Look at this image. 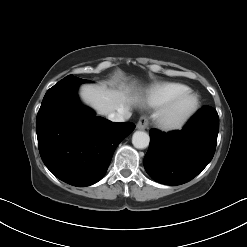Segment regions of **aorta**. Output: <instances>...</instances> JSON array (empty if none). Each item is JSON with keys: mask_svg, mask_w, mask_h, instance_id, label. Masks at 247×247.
Listing matches in <instances>:
<instances>
[{"mask_svg": "<svg viewBox=\"0 0 247 247\" xmlns=\"http://www.w3.org/2000/svg\"><path fill=\"white\" fill-rule=\"evenodd\" d=\"M149 135L144 131H136L132 136V144L137 149H145L149 145Z\"/></svg>", "mask_w": 247, "mask_h": 247, "instance_id": "obj_1", "label": "aorta"}]
</instances>
